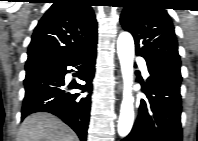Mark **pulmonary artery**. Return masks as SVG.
Segmentation results:
<instances>
[{
    "instance_id": "pulmonary-artery-1",
    "label": "pulmonary artery",
    "mask_w": 198,
    "mask_h": 141,
    "mask_svg": "<svg viewBox=\"0 0 198 141\" xmlns=\"http://www.w3.org/2000/svg\"><path fill=\"white\" fill-rule=\"evenodd\" d=\"M138 63L141 66L142 72L144 74V76L148 75L147 69H146V65H145V60L143 58H138Z\"/></svg>"
}]
</instances>
